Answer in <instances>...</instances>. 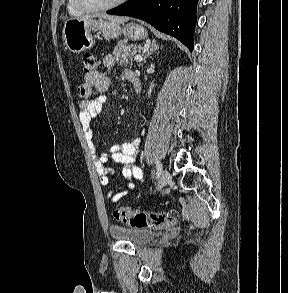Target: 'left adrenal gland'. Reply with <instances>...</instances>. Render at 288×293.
<instances>
[{
	"label": "left adrenal gland",
	"instance_id": "1",
	"mask_svg": "<svg viewBox=\"0 0 288 293\" xmlns=\"http://www.w3.org/2000/svg\"><path fill=\"white\" fill-rule=\"evenodd\" d=\"M159 49V45L156 43L155 40L152 41V43L150 45L147 46L146 49V55L144 57V62L146 61V59H148V57L156 50Z\"/></svg>",
	"mask_w": 288,
	"mask_h": 293
}]
</instances>
